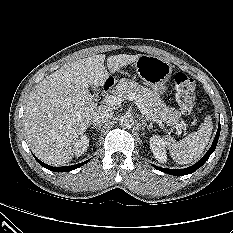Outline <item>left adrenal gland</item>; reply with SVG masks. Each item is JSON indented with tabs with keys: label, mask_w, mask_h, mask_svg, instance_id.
<instances>
[{
	"label": "left adrenal gland",
	"mask_w": 233,
	"mask_h": 233,
	"mask_svg": "<svg viewBox=\"0 0 233 233\" xmlns=\"http://www.w3.org/2000/svg\"><path fill=\"white\" fill-rule=\"evenodd\" d=\"M141 122H142V129H143V130H144L145 128H147L148 130L153 128L152 123H150V124L148 125V124L146 123V120L144 119L143 116H141Z\"/></svg>",
	"instance_id": "obj_1"
}]
</instances>
